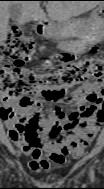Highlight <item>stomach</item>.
I'll return each instance as SVG.
<instances>
[{"mask_svg":"<svg viewBox=\"0 0 104 189\" xmlns=\"http://www.w3.org/2000/svg\"><path fill=\"white\" fill-rule=\"evenodd\" d=\"M103 4L98 5L87 19L72 20L65 24H58L44 29L43 35L60 41V45L67 51L77 52L88 37L93 36L103 28ZM76 37V39H72Z\"/></svg>","mask_w":104,"mask_h":189,"instance_id":"1","label":"stomach"}]
</instances>
